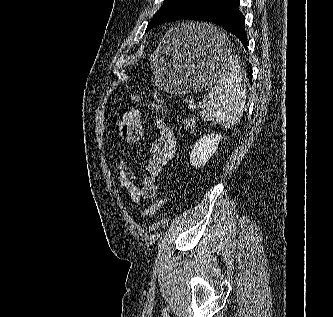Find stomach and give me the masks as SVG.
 I'll list each match as a JSON object with an SVG mask.
<instances>
[{
  "instance_id": "stomach-1",
  "label": "stomach",
  "mask_w": 333,
  "mask_h": 317,
  "mask_svg": "<svg viewBox=\"0 0 333 317\" xmlns=\"http://www.w3.org/2000/svg\"><path fill=\"white\" fill-rule=\"evenodd\" d=\"M217 24L190 23L170 29L150 56L155 84L163 95H206L224 69H235L240 55L233 52L232 41ZM211 40V41H210Z\"/></svg>"
}]
</instances>
